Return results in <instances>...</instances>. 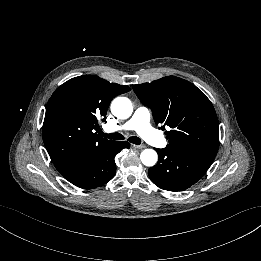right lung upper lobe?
<instances>
[{
	"label": "right lung upper lobe",
	"instance_id": "right-lung-upper-lobe-1",
	"mask_svg": "<svg viewBox=\"0 0 261 261\" xmlns=\"http://www.w3.org/2000/svg\"><path fill=\"white\" fill-rule=\"evenodd\" d=\"M128 91L126 85L94 75L72 78L57 88L46 107L43 141L59 172L118 142L97 134L99 121L106 120L111 100Z\"/></svg>",
	"mask_w": 261,
	"mask_h": 261
}]
</instances>
